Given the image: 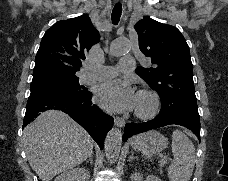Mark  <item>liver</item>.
Instances as JSON below:
<instances>
[{"label": "liver", "instance_id": "liver-1", "mask_svg": "<svg viewBox=\"0 0 228 181\" xmlns=\"http://www.w3.org/2000/svg\"><path fill=\"white\" fill-rule=\"evenodd\" d=\"M90 135L62 111H44L24 129L28 163L40 181L78 167L93 153Z\"/></svg>", "mask_w": 228, "mask_h": 181}]
</instances>
